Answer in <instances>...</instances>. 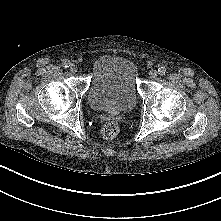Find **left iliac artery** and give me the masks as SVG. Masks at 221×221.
I'll list each match as a JSON object with an SVG mask.
<instances>
[{
  "label": "left iliac artery",
  "mask_w": 221,
  "mask_h": 221,
  "mask_svg": "<svg viewBox=\"0 0 221 221\" xmlns=\"http://www.w3.org/2000/svg\"><path fill=\"white\" fill-rule=\"evenodd\" d=\"M157 72H158L159 75L163 76L166 73V68L161 66V67L158 68Z\"/></svg>",
  "instance_id": "left-iliac-artery-1"
}]
</instances>
